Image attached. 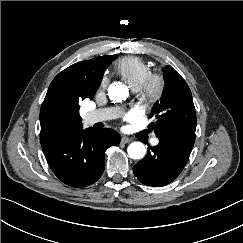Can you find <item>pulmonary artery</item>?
Listing matches in <instances>:
<instances>
[{"mask_svg": "<svg viewBox=\"0 0 243 243\" xmlns=\"http://www.w3.org/2000/svg\"><path fill=\"white\" fill-rule=\"evenodd\" d=\"M121 113L119 108H103L88 112L85 115L84 122L87 125H92L98 122L106 121L117 117ZM152 145H157L159 140L157 138L152 139Z\"/></svg>", "mask_w": 243, "mask_h": 243, "instance_id": "obj_1", "label": "pulmonary artery"}]
</instances>
